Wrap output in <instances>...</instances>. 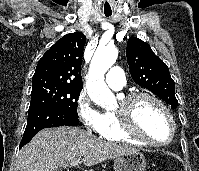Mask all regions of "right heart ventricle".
<instances>
[{
	"instance_id": "1",
	"label": "right heart ventricle",
	"mask_w": 199,
	"mask_h": 171,
	"mask_svg": "<svg viewBox=\"0 0 199 171\" xmlns=\"http://www.w3.org/2000/svg\"><path fill=\"white\" fill-rule=\"evenodd\" d=\"M120 97H122L121 94ZM99 133L104 139L110 141L143 144L141 141L131 137L123 131L119 117L115 111H107L103 113V124Z\"/></svg>"
}]
</instances>
